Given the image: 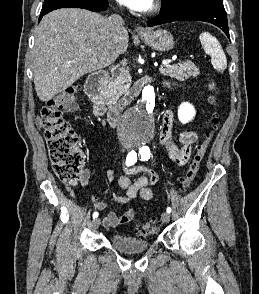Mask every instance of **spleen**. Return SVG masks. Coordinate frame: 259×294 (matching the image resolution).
Returning <instances> with one entry per match:
<instances>
[{"mask_svg": "<svg viewBox=\"0 0 259 294\" xmlns=\"http://www.w3.org/2000/svg\"><path fill=\"white\" fill-rule=\"evenodd\" d=\"M201 45L211 57V64L216 71L223 72L227 68V59L220 42L209 32L200 34Z\"/></svg>", "mask_w": 259, "mask_h": 294, "instance_id": "obj_1", "label": "spleen"}]
</instances>
